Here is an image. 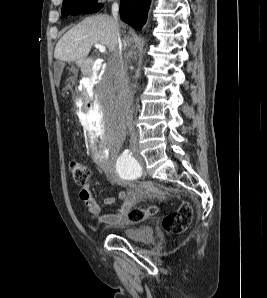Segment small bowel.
<instances>
[{
    "label": "small bowel",
    "instance_id": "small-bowel-1",
    "mask_svg": "<svg viewBox=\"0 0 267 298\" xmlns=\"http://www.w3.org/2000/svg\"><path fill=\"white\" fill-rule=\"evenodd\" d=\"M110 180L122 186L124 184L117 175L111 174ZM139 190L132 186L128 191L120 190L117 194V198L122 201L121 206L112 213L101 214V206L93 197L89 185H85L79 192V198L84 203L90 214L96 217L99 224H104L110 227H120L127 223V214L135 203ZM115 202V198L112 196L107 197L104 200L106 205H111Z\"/></svg>",
    "mask_w": 267,
    "mask_h": 298
}]
</instances>
